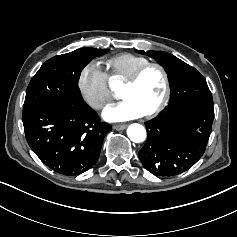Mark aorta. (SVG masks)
Returning a JSON list of instances; mask_svg holds the SVG:
<instances>
[{"instance_id":"762f6f07","label":"aorta","mask_w":237,"mask_h":237,"mask_svg":"<svg viewBox=\"0 0 237 237\" xmlns=\"http://www.w3.org/2000/svg\"><path fill=\"white\" fill-rule=\"evenodd\" d=\"M127 134L133 143H142L147 138L146 129L140 124L130 125Z\"/></svg>"}]
</instances>
